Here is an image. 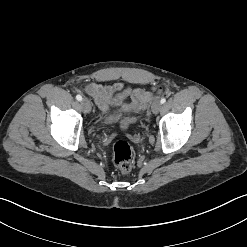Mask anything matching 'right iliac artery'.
Returning <instances> with one entry per match:
<instances>
[{"mask_svg": "<svg viewBox=\"0 0 247 247\" xmlns=\"http://www.w3.org/2000/svg\"><path fill=\"white\" fill-rule=\"evenodd\" d=\"M76 99H77L78 101H81V100H82V96H81V95H77V96H76Z\"/></svg>", "mask_w": 247, "mask_h": 247, "instance_id": "obj_1", "label": "right iliac artery"}]
</instances>
